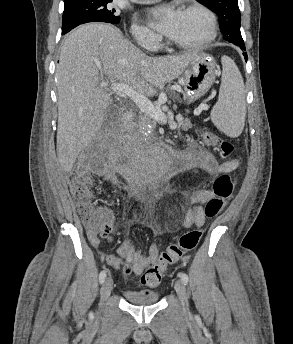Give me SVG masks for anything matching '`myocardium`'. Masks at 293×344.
<instances>
[{"label": "myocardium", "mask_w": 293, "mask_h": 344, "mask_svg": "<svg viewBox=\"0 0 293 344\" xmlns=\"http://www.w3.org/2000/svg\"><path fill=\"white\" fill-rule=\"evenodd\" d=\"M180 11H199L204 14L208 21V33L202 39L194 42H179L168 38L167 43L170 46L184 50L200 49L208 46L216 39L218 34V23L215 13L210 8L201 3L192 2L182 6Z\"/></svg>", "instance_id": "f54148a6"}]
</instances>
